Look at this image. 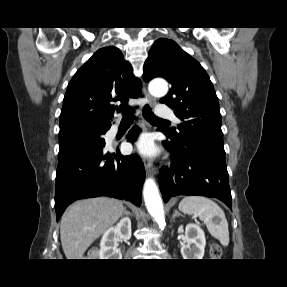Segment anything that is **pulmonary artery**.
<instances>
[{
	"label": "pulmonary artery",
	"mask_w": 287,
	"mask_h": 287,
	"mask_svg": "<svg viewBox=\"0 0 287 287\" xmlns=\"http://www.w3.org/2000/svg\"><path fill=\"white\" fill-rule=\"evenodd\" d=\"M156 115L160 117H173V112L168 106L161 104L156 108ZM173 118L176 122L179 121L177 118Z\"/></svg>",
	"instance_id": "pulmonary-artery-1"
}]
</instances>
